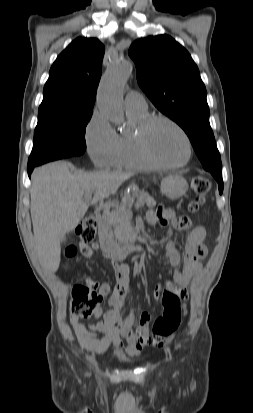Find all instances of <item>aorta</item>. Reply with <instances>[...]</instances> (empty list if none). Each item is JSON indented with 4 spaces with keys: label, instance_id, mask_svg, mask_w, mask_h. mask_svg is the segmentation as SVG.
<instances>
[{
    "label": "aorta",
    "instance_id": "1",
    "mask_svg": "<svg viewBox=\"0 0 253 413\" xmlns=\"http://www.w3.org/2000/svg\"><path fill=\"white\" fill-rule=\"evenodd\" d=\"M132 72V66L125 61H118L110 65L101 79L97 106L112 122H124L122 92Z\"/></svg>",
    "mask_w": 253,
    "mask_h": 413
}]
</instances>
